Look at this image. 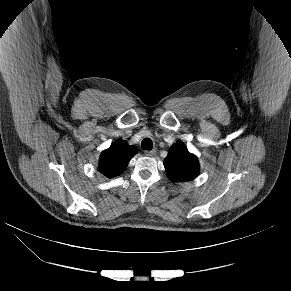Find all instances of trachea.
I'll list each match as a JSON object with an SVG mask.
<instances>
[{"label":"trachea","mask_w":291,"mask_h":291,"mask_svg":"<svg viewBox=\"0 0 291 291\" xmlns=\"http://www.w3.org/2000/svg\"><path fill=\"white\" fill-rule=\"evenodd\" d=\"M141 147L143 150H148V151L152 150L153 148L152 140L150 138L143 139L141 142Z\"/></svg>","instance_id":"1"}]
</instances>
